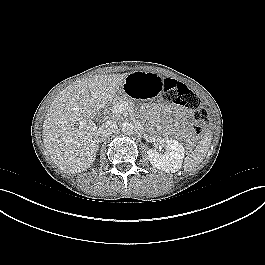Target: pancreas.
Returning a JSON list of instances; mask_svg holds the SVG:
<instances>
[{
  "label": "pancreas",
  "mask_w": 265,
  "mask_h": 265,
  "mask_svg": "<svg viewBox=\"0 0 265 265\" xmlns=\"http://www.w3.org/2000/svg\"><path fill=\"white\" fill-rule=\"evenodd\" d=\"M119 104H124L126 106H130L131 108L134 107V103L132 102V100L126 96V95H122V96H117L112 103V109H113V113H112V118L115 120H119L121 119V115L119 113L115 112V108L117 105Z\"/></svg>",
  "instance_id": "obj_1"
}]
</instances>
